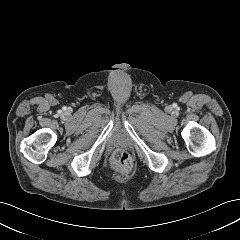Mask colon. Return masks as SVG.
Here are the masks:
<instances>
[{
    "label": "colon",
    "mask_w": 240,
    "mask_h": 240,
    "mask_svg": "<svg viewBox=\"0 0 240 240\" xmlns=\"http://www.w3.org/2000/svg\"><path fill=\"white\" fill-rule=\"evenodd\" d=\"M111 164L116 170L128 173L132 169V158L126 151L117 150L111 158Z\"/></svg>",
    "instance_id": "obj_1"
}]
</instances>
